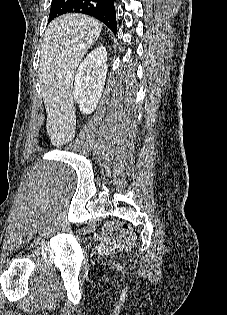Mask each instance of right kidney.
Here are the masks:
<instances>
[{
    "mask_svg": "<svg viewBox=\"0 0 227 315\" xmlns=\"http://www.w3.org/2000/svg\"><path fill=\"white\" fill-rule=\"evenodd\" d=\"M106 61V48L101 45L86 56L76 72L73 96L84 114L94 112L101 98L108 69Z\"/></svg>",
    "mask_w": 227,
    "mask_h": 315,
    "instance_id": "1",
    "label": "right kidney"
}]
</instances>
